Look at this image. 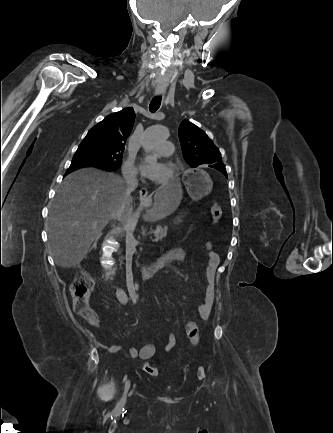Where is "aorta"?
I'll use <instances>...</instances> for the list:
<instances>
[{
	"label": "aorta",
	"mask_w": 333,
	"mask_h": 433,
	"mask_svg": "<svg viewBox=\"0 0 333 433\" xmlns=\"http://www.w3.org/2000/svg\"><path fill=\"white\" fill-rule=\"evenodd\" d=\"M170 134L169 131L163 126H152L145 130L144 132V149L148 152L149 148L157 143H162L168 140ZM145 162L156 163L157 157L147 154L145 156ZM136 227V222L134 219H129L126 224V258H132L136 251V239L134 237V230Z\"/></svg>",
	"instance_id": "762f6f07"
}]
</instances>
